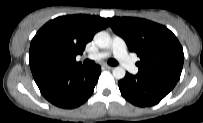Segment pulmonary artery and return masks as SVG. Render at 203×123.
I'll return each mask as SVG.
<instances>
[{
  "label": "pulmonary artery",
  "instance_id": "1",
  "mask_svg": "<svg viewBox=\"0 0 203 123\" xmlns=\"http://www.w3.org/2000/svg\"><path fill=\"white\" fill-rule=\"evenodd\" d=\"M113 54L115 58L122 64V66L132 74L138 72V67L132 58L128 55L125 42L122 38L114 36L111 46L108 50L100 51L88 56L92 60H101Z\"/></svg>",
  "mask_w": 203,
  "mask_h": 123
}]
</instances>
